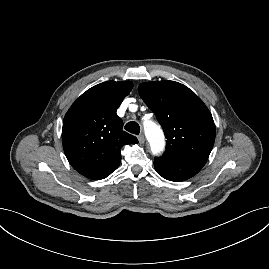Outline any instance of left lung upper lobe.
Wrapping results in <instances>:
<instances>
[{"label": "left lung upper lobe", "mask_w": 269, "mask_h": 269, "mask_svg": "<svg viewBox=\"0 0 269 269\" xmlns=\"http://www.w3.org/2000/svg\"><path fill=\"white\" fill-rule=\"evenodd\" d=\"M138 91L164 130L163 155L207 161L215 141V124L201 99L174 81L142 83Z\"/></svg>", "instance_id": "obj_1"}]
</instances>
